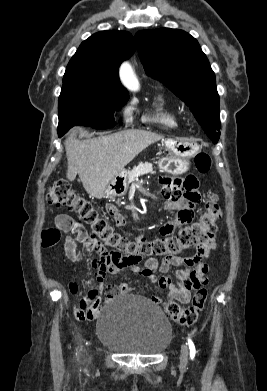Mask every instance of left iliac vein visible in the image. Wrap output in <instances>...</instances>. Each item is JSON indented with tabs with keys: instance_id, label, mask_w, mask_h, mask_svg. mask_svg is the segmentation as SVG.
<instances>
[{
	"instance_id": "1",
	"label": "left iliac vein",
	"mask_w": 267,
	"mask_h": 391,
	"mask_svg": "<svg viewBox=\"0 0 267 391\" xmlns=\"http://www.w3.org/2000/svg\"><path fill=\"white\" fill-rule=\"evenodd\" d=\"M188 361V348L185 344L181 346L180 366L185 367Z\"/></svg>"
}]
</instances>
